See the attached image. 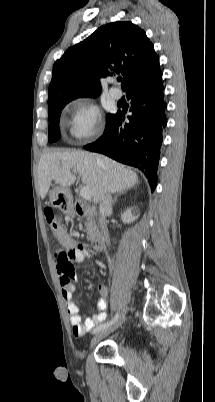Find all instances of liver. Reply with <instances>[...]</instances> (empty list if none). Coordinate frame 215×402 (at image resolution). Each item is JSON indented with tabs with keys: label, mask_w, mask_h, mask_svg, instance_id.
Here are the masks:
<instances>
[{
	"label": "liver",
	"mask_w": 215,
	"mask_h": 402,
	"mask_svg": "<svg viewBox=\"0 0 215 402\" xmlns=\"http://www.w3.org/2000/svg\"><path fill=\"white\" fill-rule=\"evenodd\" d=\"M78 172L82 182L91 191L94 203L101 201L105 192L126 190L138 182L137 174L104 155L84 151H51L44 153L38 165V189L42 199L52 181L68 188L76 181L72 172Z\"/></svg>",
	"instance_id": "6515ba94"
}]
</instances>
